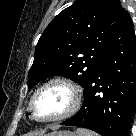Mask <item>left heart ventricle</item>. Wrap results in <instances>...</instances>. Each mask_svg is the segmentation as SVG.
<instances>
[{
	"label": "left heart ventricle",
	"mask_w": 136,
	"mask_h": 136,
	"mask_svg": "<svg viewBox=\"0 0 136 136\" xmlns=\"http://www.w3.org/2000/svg\"><path fill=\"white\" fill-rule=\"evenodd\" d=\"M69 103V92L60 85H52L36 97L33 110L38 118L46 119L64 112Z\"/></svg>",
	"instance_id": "1"
}]
</instances>
